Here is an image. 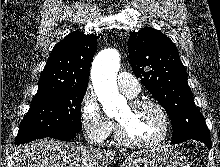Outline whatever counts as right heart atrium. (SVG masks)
Returning <instances> with one entry per match:
<instances>
[{
	"mask_svg": "<svg viewBox=\"0 0 220 167\" xmlns=\"http://www.w3.org/2000/svg\"><path fill=\"white\" fill-rule=\"evenodd\" d=\"M79 118L84 134L96 144L103 143L113 131V122L105 115L95 94L90 90L81 98Z\"/></svg>",
	"mask_w": 220,
	"mask_h": 167,
	"instance_id": "d8ad5b80",
	"label": "right heart atrium"
}]
</instances>
